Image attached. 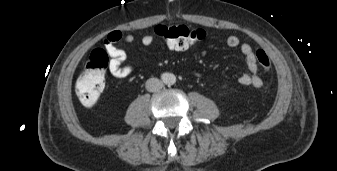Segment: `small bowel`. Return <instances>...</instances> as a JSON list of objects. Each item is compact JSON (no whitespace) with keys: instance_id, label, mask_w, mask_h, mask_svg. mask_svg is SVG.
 <instances>
[{"instance_id":"obj_1","label":"small bowel","mask_w":337,"mask_h":171,"mask_svg":"<svg viewBox=\"0 0 337 171\" xmlns=\"http://www.w3.org/2000/svg\"><path fill=\"white\" fill-rule=\"evenodd\" d=\"M121 41H124L127 44H133L136 41V37L133 34H123L120 31H111L104 38L103 44L109 56L108 70L110 74L115 78L124 79L133 74L134 67L125 63L127 54L125 50L117 46V43ZM140 42L143 46L149 47L154 43V38L152 35L147 34L141 38ZM227 45L231 48L240 47V51L244 56L248 68V73L239 77V83L254 88L262 87L263 81L258 74L257 60L252 46L248 43H241L237 36H229L227 38ZM195 75L198 78L201 77V74L199 73H196Z\"/></svg>"}]
</instances>
